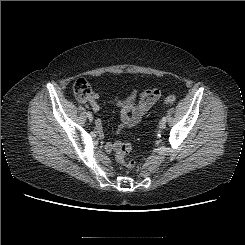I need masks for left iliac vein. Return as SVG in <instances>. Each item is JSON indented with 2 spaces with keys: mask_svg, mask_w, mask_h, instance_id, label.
I'll use <instances>...</instances> for the list:
<instances>
[{
  "mask_svg": "<svg viewBox=\"0 0 245 245\" xmlns=\"http://www.w3.org/2000/svg\"><path fill=\"white\" fill-rule=\"evenodd\" d=\"M165 126H166V122H164L163 120H161V121L159 122V127H160L161 129H164Z\"/></svg>",
  "mask_w": 245,
  "mask_h": 245,
  "instance_id": "left-iliac-vein-1",
  "label": "left iliac vein"
}]
</instances>
